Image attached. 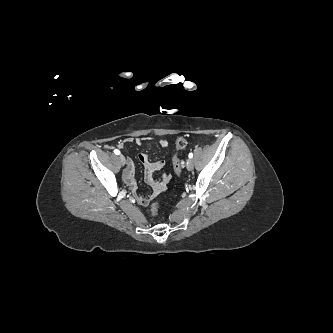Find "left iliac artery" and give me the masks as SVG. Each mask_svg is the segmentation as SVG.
<instances>
[{
	"instance_id": "44dca946",
	"label": "left iliac artery",
	"mask_w": 333,
	"mask_h": 333,
	"mask_svg": "<svg viewBox=\"0 0 333 333\" xmlns=\"http://www.w3.org/2000/svg\"><path fill=\"white\" fill-rule=\"evenodd\" d=\"M188 157L191 159L193 157V153H189Z\"/></svg>"
}]
</instances>
